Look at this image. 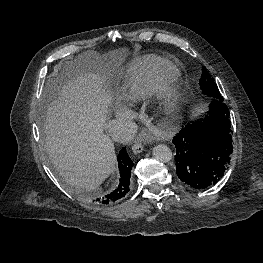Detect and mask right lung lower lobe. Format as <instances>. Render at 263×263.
Returning a JSON list of instances; mask_svg holds the SVG:
<instances>
[{
  "instance_id": "98d812e1",
  "label": "right lung lower lobe",
  "mask_w": 263,
  "mask_h": 263,
  "mask_svg": "<svg viewBox=\"0 0 263 263\" xmlns=\"http://www.w3.org/2000/svg\"><path fill=\"white\" fill-rule=\"evenodd\" d=\"M119 170H120V184L119 187L111 192L110 194L105 195L102 198H96L95 201L102 204H113L116 201L123 198L126 193L129 191L130 185V176L131 170L133 167V162L129 158L126 149L122 148L119 155L117 156Z\"/></svg>"
}]
</instances>
